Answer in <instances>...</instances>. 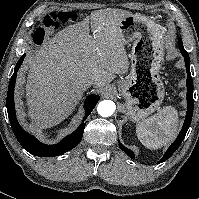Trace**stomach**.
Wrapping results in <instances>:
<instances>
[{
  "label": "stomach",
  "mask_w": 199,
  "mask_h": 199,
  "mask_svg": "<svg viewBox=\"0 0 199 199\" xmlns=\"http://www.w3.org/2000/svg\"><path fill=\"white\" fill-rule=\"evenodd\" d=\"M124 44H131L130 73L118 82L124 111L139 122L158 110L165 96L160 70L164 62V33L148 17L127 15L119 25Z\"/></svg>",
  "instance_id": "stomach-1"
}]
</instances>
